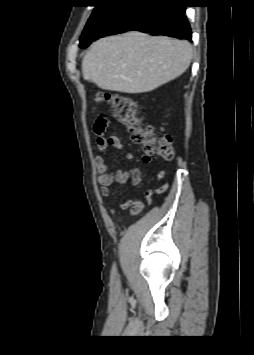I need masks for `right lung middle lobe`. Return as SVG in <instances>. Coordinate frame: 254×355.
Here are the masks:
<instances>
[{"mask_svg":"<svg viewBox=\"0 0 254 355\" xmlns=\"http://www.w3.org/2000/svg\"><path fill=\"white\" fill-rule=\"evenodd\" d=\"M118 5V3L111 2L97 5L85 26L80 40L91 42Z\"/></svg>","mask_w":254,"mask_h":355,"instance_id":"dd1d6c3e","label":"right lung middle lobe"}]
</instances>
